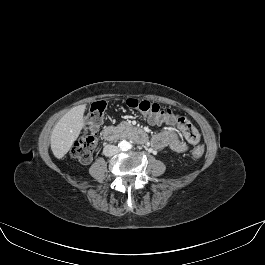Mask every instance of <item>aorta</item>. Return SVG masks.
Segmentation results:
<instances>
[{
	"label": "aorta",
	"instance_id": "obj_1",
	"mask_svg": "<svg viewBox=\"0 0 265 265\" xmlns=\"http://www.w3.org/2000/svg\"><path fill=\"white\" fill-rule=\"evenodd\" d=\"M118 147L122 151H127L128 149H130L131 144L128 141L123 140L119 142Z\"/></svg>",
	"mask_w": 265,
	"mask_h": 265
}]
</instances>
